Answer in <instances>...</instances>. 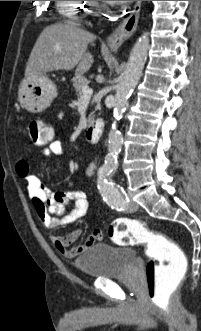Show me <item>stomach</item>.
<instances>
[{
	"instance_id": "1",
	"label": "stomach",
	"mask_w": 201,
	"mask_h": 331,
	"mask_svg": "<svg viewBox=\"0 0 201 331\" xmlns=\"http://www.w3.org/2000/svg\"><path fill=\"white\" fill-rule=\"evenodd\" d=\"M56 96L55 84L45 76L25 78L19 86V101L32 113H39L47 109Z\"/></svg>"
}]
</instances>
